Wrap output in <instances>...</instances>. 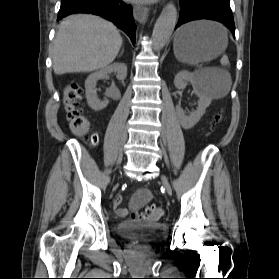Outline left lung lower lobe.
Instances as JSON below:
<instances>
[{
    "label": "left lung lower lobe",
    "mask_w": 279,
    "mask_h": 279,
    "mask_svg": "<svg viewBox=\"0 0 279 279\" xmlns=\"http://www.w3.org/2000/svg\"><path fill=\"white\" fill-rule=\"evenodd\" d=\"M180 16L177 27L198 19H209L223 23L235 34L233 15L230 9V0H179Z\"/></svg>",
    "instance_id": "obj_1"
}]
</instances>
